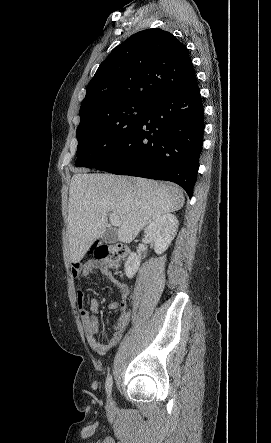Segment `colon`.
Here are the masks:
<instances>
[{
	"instance_id": "colon-1",
	"label": "colon",
	"mask_w": 271,
	"mask_h": 443,
	"mask_svg": "<svg viewBox=\"0 0 271 443\" xmlns=\"http://www.w3.org/2000/svg\"><path fill=\"white\" fill-rule=\"evenodd\" d=\"M128 248L123 243L103 244L94 248L96 258L104 260L110 267H117L127 255Z\"/></svg>"
}]
</instances>
